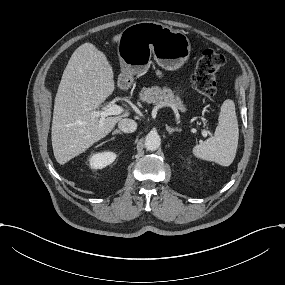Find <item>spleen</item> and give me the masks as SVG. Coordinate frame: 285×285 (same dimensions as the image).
<instances>
[{
  "label": "spleen",
  "mask_w": 285,
  "mask_h": 285,
  "mask_svg": "<svg viewBox=\"0 0 285 285\" xmlns=\"http://www.w3.org/2000/svg\"><path fill=\"white\" fill-rule=\"evenodd\" d=\"M218 122L214 134L201 144L193 146L191 153L197 159L227 167L235 158L239 137L233 100L226 99L222 103Z\"/></svg>",
  "instance_id": "obj_1"
}]
</instances>
